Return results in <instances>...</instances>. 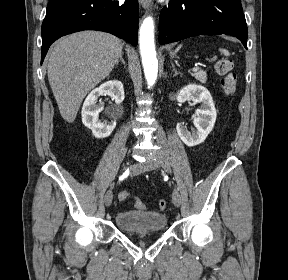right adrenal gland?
Here are the masks:
<instances>
[{"instance_id": "1", "label": "right adrenal gland", "mask_w": 288, "mask_h": 280, "mask_svg": "<svg viewBox=\"0 0 288 280\" xmlns=\"http://www.w3.org/2000/svg\"><path fill=\"white\" fill-rule=\"evenodd\" d=\"M119 62H122L125 65V61L123 59V55L120 56L119 61L117 62L116 66L119 64Z\"/></svg>"}]
</instances>
